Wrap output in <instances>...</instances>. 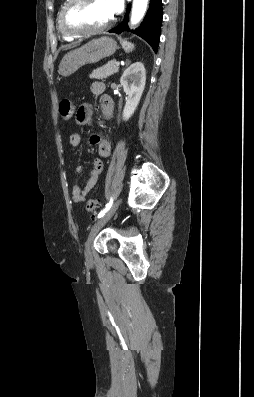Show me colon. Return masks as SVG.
Returning <instances> with one entry per match:
<instances>
[{
	"label": "colon",
	"mask_w": 254,
	"mask_h": 397,
	"mask_svg": "<svg viewBox=\"0 0 254 397\" xmlns=\"http://www.w3.org/2000/svg\"><path fill=\"white\" fill-rule=\"evenodd\" d=\"M75 111V103L69 99H63L60 103V113L63 119L68 120L72 117ZM99 207V200L91 198L87 201L86 209L89 212H95Z\"/></svg>",
	"instance_id": "obj_1"
}]
</instances>
